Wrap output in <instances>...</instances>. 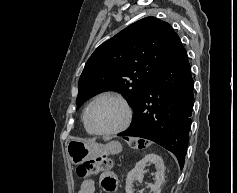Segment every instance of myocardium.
Segmentation results:
<instances>
[{
    "mask_svg": "<svg viewBox=\"0 0 237 193\" xmlns=\"http://www.w3.org/2000/svg\"><path fill=\"white\" fill-rule=\"evenodd\" d=\"M105 98H110V99H113V100H116L117 102H119L125 111V118H124L123 123L119 127L112 129V130L103 131V130L96 129L92 125V123L90 121V111L95 103H97L99 100L105 99ZM85 120H86V124L89 127V129L96 135H102V136L117 135L119 133L124 132L125 130H127L130 127L132 120H133V110H132L130 104L127 102V100L125 98H123L121 95L116 94V93H111V92L102 93V94L98 95L97 97H95L87 106V108L85 110Z\"/></svg>",
    "mask_w": 237,
    "mask_h": 193,
    "instance_id": "myocardium-1",
    "label": "myocardium"
}]
</instances>
